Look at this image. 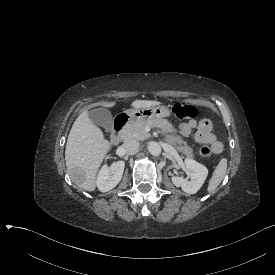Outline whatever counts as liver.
<instances>
[{
	"label": "liver",
	"mask_w": 275,
	"mask_h": 275,
	"mask_svg": "<svg viewBox=\"0 0 275 275\" xmlns=\"http://www.w3.org/2000/svg\"><path fill=\"white\" fill-rule=\"evenodd\" d=\"M115 102H104L102 106L113 107ZM160 105L158 101L136 100L132 103L135 108ZM111 148L108 140L104 139L100 128L92 123L88 112H82L72 125L68 135L65 161L70 174L73 168H80L85 173V181L80 188L94 191L96 188V174L106 153Z\"/></svg>",
	"instance_id": "obj_1"
}]
</instances>
